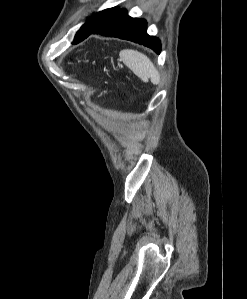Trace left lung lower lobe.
Returning a JSON list of instances; mask_svg holds the SVG:
<instances>
[{
    "label": "left lung lower lobe",
    "mask_w": 247,
    "mask_h": 299,
    "mask_svg": "<svg viewBox=\"0 0 247 299\" xmlns=\"http://www.w3.org/2000/svg\"><path fill=\"white\" fill-rule=\"evenodd\" d=\"M90 34H101L104 36L118 37L151 48L160 54L161 44L158 38L146 33V21L144 19L132 18L125 9L117 10L95 29L85 34L77 44L87 38Z\"/></svg>",
    "instance_id": "1"
}]
</instances>
